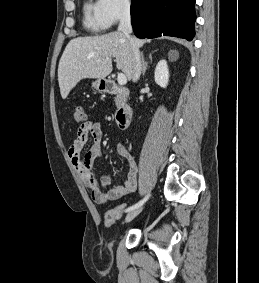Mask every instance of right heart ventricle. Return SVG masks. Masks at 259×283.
I'll return each instance as SVG.
<instances>
[{
  "mask_svg": "<svg viewBox=\"0 0 259 283\" xmlns=\"http://www.w3.org/2000/svg\"><path fill=\"white\" fill-rule=\"evenodd\" d=\"M84 13L85 25L91 31L95 33H101L108 28L99 13V8L97 4H94L92 1H88L84 7Z\"/></svg>",
  "mask_w": 259,
  "mask_h": 283,
  "instance_id": "e07e8e85",
  "label": "right heart ventricle"
}]
</instances>
